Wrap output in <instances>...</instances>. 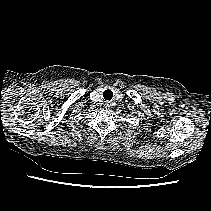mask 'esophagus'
<instances>
[{"instance_id": "esophagus-1", "label": "esophagus", "mask_w": 211, "mask_h": 211, "mask_svg": "<svg viewBox=\"0 0 211 211\" xmlns=\"http://www.w3.org/2000/svg\"><path fill=\"white\" fill-rule=\"evenodd\" d=\"M104 106H105V108H106V109H108V108H110V103H109V102H107V103H105V105H104Z\"/></svg>"}]
</instances>
